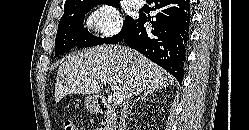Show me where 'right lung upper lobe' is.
Here are the masks:
<instances>
[{
	"label": "right lung upper lobe",
	"instance_id": "cb5924a9",
	"mask_svg": "<svg viewBox=\"0 0 249 130\" xmlns=\"http://www.w3.org/2000/svg\"><path fill=\"white\" fill-rule=\"evenodd\" d=\"M119 0H66L64 8L80 9L96 3L118 2Z\"/></svg>",
	"mask_w": 249,
	"mask_h": 130
}]
</instances>
